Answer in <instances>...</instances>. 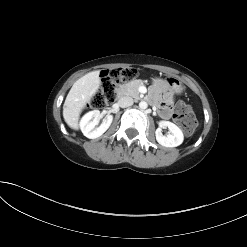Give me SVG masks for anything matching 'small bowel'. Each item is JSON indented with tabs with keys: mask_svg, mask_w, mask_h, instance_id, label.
I'll return each instance as SVG.
<instances>
[{
	"mask_svg": "<svg viewBox=\"0 0 247 247\" xmlns=\"http://www.w3.org/2000/svg\"><path fill=\"white\" fill-rule=\"evenodd\" d=\"M149 101L158 105L162 117L169 118L172 115L173 94L168 90L164 81L157 80L154 82Z\"/></svg>",
	"mask_w": 247,
	"mask_h": 247,
	"instance_id": "small-bowel-1",
	"label": "small bowel"
}]
</instances>
